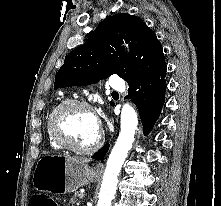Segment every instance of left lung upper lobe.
I'll list each match as a JSON object with an SVG mask.
<instances>
[{
  "mask_svg": "<svg viewBox=\"0 0 221 206\" xmlns=\"http://www.w3.org/2000/svg\"><path fill=\"white\" fill-rule=\"evenodd\" d=\"M123 40L130 53L117 45ZM164 69L165 57L155 33L140 18L117 14L101 22L85 44L65 57L55 76V89L97 83L112 74L130 86Z\"/></svg>",
  "mask_w": 221,
  "mask_h": 206,
  "instance_id": "5c2ea615",
  "label": "left lung upper lobe"
}]
</instances>
